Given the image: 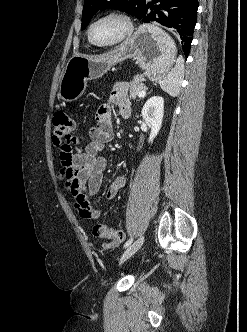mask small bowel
<instances>
[{"mask_svg":"<svg viewBox=\"0 0 247 332\" xmlns=\"http://www.w3.org/2000/svg\"><path fill=\"white\" fill-rule=\"evenodd\" d=\"M113 106L118 108L121 117H130L131 102L127 96V86L123 83L117 84L108 100L97 109L95 125L87 135L75 138V149L62 146L59 153L60 177L72 196L79 215L88 220H96L101 215V210L91 205L90 198L99 192L103 171L108 163L107 158L99 154L113 138ZM125 182L124 176L115 177L105 192V198L114 199Z\"/></svg>","mask_w":247,"mask_h":332,"instance_id":"small-bowel-1","label":"small bowel"}]
</instances>
